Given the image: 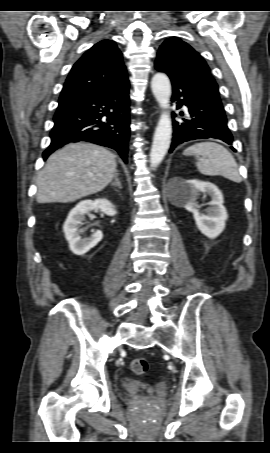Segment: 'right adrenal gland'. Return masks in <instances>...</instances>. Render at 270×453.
<instances>
[{
	"instance_id": "1",
	"label": "right adrenal gland",
	"mask_w": 270,
	"mask_h": 453,
	"mask_svg": "<svg viewBox=\"0 0 270 453\" xmlns=\"http://www.w3.org/2000/svg\"><path fill=\"white\" fill-rule=\"evenodd\" d=\"M118 175H119L118 170H116V173L114 176V182L111 183V186L118 187L119 189H121L122 186H121V182L119 181Z\"/></svg>"
}]
</instances>
